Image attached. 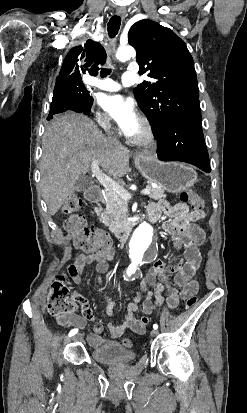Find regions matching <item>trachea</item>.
Segmentation results:
<instances>
[{"label":"trachea","mask_w":247,"mask_h":413,"mask_svg":"<svg viewBox=\"0 0 247 413\" xmlns=\"http://www.w3.org/2000/svg\"><path fill=\"white\" fill-rule=\"evenodd\" d=\"M120 25H121L120 17H118L117 15H114L108 23V33L110 37H115V35H117ZM110 72L111 70H108L107 68H103L101 70V77H106L107 75L110 74Z\"/></svg>","instance_id":"3493384b"}]
</instances>
